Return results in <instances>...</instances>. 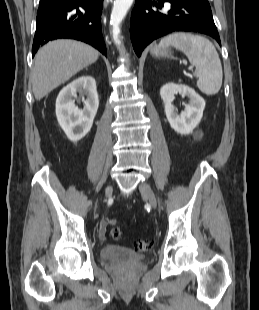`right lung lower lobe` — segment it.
Wrapping results in <instances>:
<instances>
[{
    "label": "right lung lower lobe",
    "instance_id": "98d812e1",
    "mask_svg": "<svg viewBox=\"0 0 259 310\" xmlns=\"http://www.w3.org/2000/svg\"><path fill=\"white\" fill-rule=\"evenodd\" d=\"M102 8L103 0H40L32 55L50 40L73 38L107 56L101 36Z\"/></svg>",
    "mask_w": 259,
    "mask_h": 310
}]
</instances>
